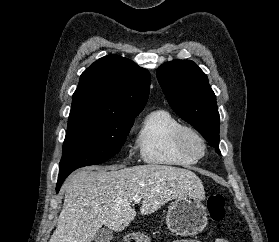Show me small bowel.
<instances>
[{
	"instance_id": "1",
	"label": "small bowel",
	"mask_w": 279,
	"mask_h": 242,
	"mask_svg": "<svg viewBox=\"0 0 279 242\" xmlns=\"http://www.w3.org/2000/svg\"><path fill=\"white\" fill-rule=\"evenodd\" d=\"M173 242H200V241H194V240H176ZM214 242H229L228 240L224 239V238H217L214 240Z\"/></svg>"
}]
</instances>
